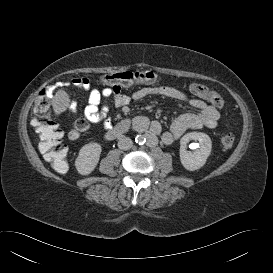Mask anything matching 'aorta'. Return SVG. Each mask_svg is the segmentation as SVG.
I'll return each mask as SVG.
<instances>
[{
	"instance_id": "obj_1",
	"label": "aorta",
	"mask_w": 273,
	"mask_h": 273,
	"mask_svg": "<svg viewBox=\"0 0 273 273\" xmlns=\"http://www.w3.org/2000/svg\"><path fill=\"white\" fill-rule=\"evenodd\" d=\"M135 141L139 145H143L146 142V138L143 135H137Z\"/></svg>"
}]
</instances>
